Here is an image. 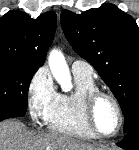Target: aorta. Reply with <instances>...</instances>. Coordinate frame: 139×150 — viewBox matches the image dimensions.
<instances>
[{"label": "aorta", "instance_id": "obj_1", "mask_svg": "<svg viewBox=\"0 0 139 150\" xmlns=\"http://www.w3.org/2000/svg\"><path fill=\"white\" fill-rule=\"evenodd\" d=\"M48 64L53 77L61 85L63 91L71 89V76L65 61L64 55L61 51L54 49L51 51Z\"/></svg>", "mask_w": 139, "mask_h": 150}]
</instances>
